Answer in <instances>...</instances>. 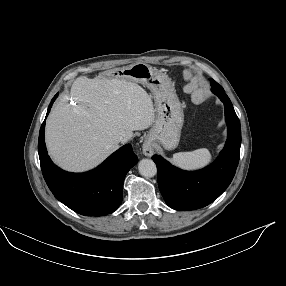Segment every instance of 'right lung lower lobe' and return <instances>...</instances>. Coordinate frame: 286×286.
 Here are the masks:
<instances>
[{
  "label": "right lung lower lobe",
  "instance_id": "98d812e1",
  "mask_svg": "<svg viewBox=\"0 0 286 286\" xmlns=\"http://www.w3.org/2000/svg\"><path fill=\"white\" fill-rule=\"evenodd\" d=\"M57 96L58 93L52 99L47 115ZM44 130L45 121L39 133V159L44 179L54 196L81 215L101 216L113 213L122 202L125 176L138 161L132 146L124 145L92 171L69 173L54 165L49 158Z\"/></svg>",
  "mask_w": 286,
  "mask_h": 286
}]
</instances>
